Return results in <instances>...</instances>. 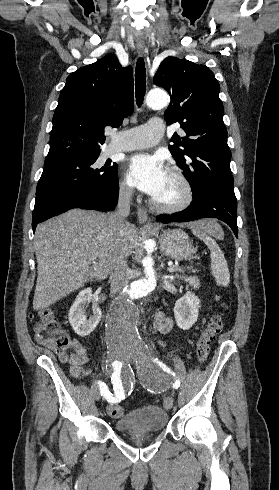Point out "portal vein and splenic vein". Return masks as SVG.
I'll list each match as a JSON object with an SVG mask.
<instances>
[{
	"mask_svg": "<svg viewBox=\"0 0 279 490\" xmlns=\"http://www.w3.org/2000/svg\"><path fill=\"white\" fill-rule=\"evenodd\" d=\"M168 272H180V268H176V266H169Z\"/></svg>",
	"mask_w": 279,
	"mask_h": 490,
	"instance_id": "1",
	"label": "portal vein and splenic vein"
}]
</instances>
